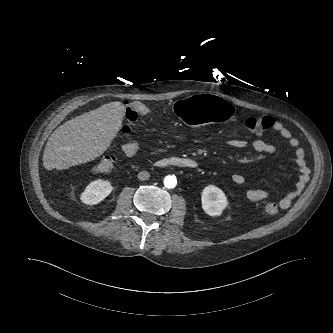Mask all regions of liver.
<instances>
[{"mask_svg": "<svg viewBox=\"0 0 333 333\" xmlns=\"http://www.w3.org/2000/svg\"><path fill=\"white\" fill-rule=\"evenodd\" d=\"M124 114L123 103L110 102L59 126L46 143L44 168L63 170L101 156L117 136Z\"/></svg>", "mask_w": 333, "mask_h": 333, "instance_id": "obj_1", "label": "liver"}]
</instances>
